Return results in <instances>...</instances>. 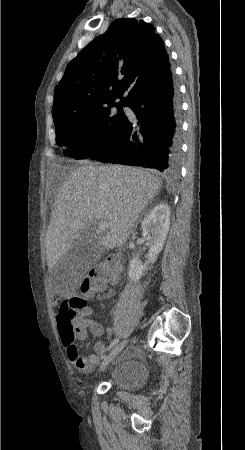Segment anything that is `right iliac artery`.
I'll return each mask as SVG.
<instances>
[{
  "label": "right iliac artery",
  "mask_w": 245,
  "mask_h": 450,
  "mask_svg": "<svg viewBox=\"0 0 245 450\" xmlns=\"http://www.w3.org/2000/svg\"><path fill=\"white\" fill-rule=\"evenodd\" d=\"M118 341H119V338H116L115 340H113L111 342V344L109 345V347L107 348V350L108 351L111 350L118 343Z\"/></svg>",
  "instance_id": "1"
}]
</instances>
